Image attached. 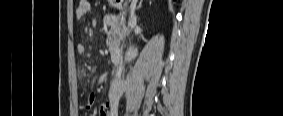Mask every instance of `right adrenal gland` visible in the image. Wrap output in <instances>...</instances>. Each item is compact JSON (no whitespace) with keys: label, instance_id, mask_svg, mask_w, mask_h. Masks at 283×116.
Here are the masks:
<instances>
[{"label":"right adrenal gland","instance_id":"2a0ac1e0","mask_svg":"<svg viewBox=\"0 0 283 116\" xmlns=\"http://www.w3.org/2000/svg\"><path fill=\"white\" fill-rule=\"evenodd\" d=\"M142 0H140L139 5L137 6V9H140L142 7Z\"/></svg>","mask_w":283,"mask_h":116}]
</instances>
